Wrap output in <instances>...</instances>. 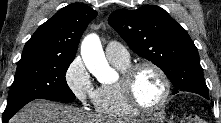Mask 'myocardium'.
Returning <instances> with one entry per match:
<instances>
[{
    "instance_id": "f54148a6",
    "label": "myocardium",
    "mask_w": 221,
    "mask_h": 123,
    "mask_svg": "<svg viewBox=\"0 0 221 123\" xmlns=\"http://www.w3.org/2000/svg\"><path fill=\"white\" fill-rule=\"evenodd\" d=\"M143 68L154 70L161 78L164 86V94L160 102L152 107L143 106L135 97L133 90V82L136 74ZM118 84L126 103L135 111L142 113H152L162 109L168 102L171 94L170 80L165 71L157 64L149 61L139 62L130 65L127 69L121 72Z\"/></svg>"
}]
</instances>
